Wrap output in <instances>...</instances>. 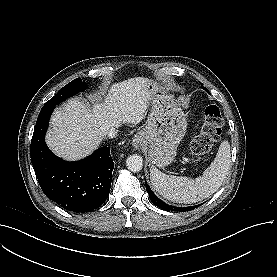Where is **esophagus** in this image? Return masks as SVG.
Segmentation results:
<instances>
[{"label": "esophagus", "mask_w": 277, "mask_h": 277, "mask_svg": "<svg viewBox=\"0 0 277 277\" xmlns=\"http://www.w3.org/2000/svg\"><path fill=\"white\" fill-rule=\"evenodd\" d=\"M143 143H144V140H143V138H142L141 135L136 134V135L133 137L132 145H133L135 148H137V149L141 148V146H143Z\"/></svg>", "instance_id": "1"}]
</instances>
